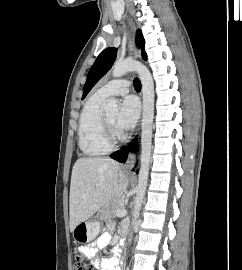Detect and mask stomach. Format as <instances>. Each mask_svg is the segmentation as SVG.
<instances>
[{"mask_svg":"<svg viewBox=\"0 0 242 270\" xmlns=\"http://www.w3.org/2000/svg\"><path fill=\"white\" fill-rule=\"evenodd\" d=\"M99 232L100 222L92 218L79 223L72 231V236L75 243H89L97 237Z\"/></svg>","mask_w":242,"mask_h":270,"instance_id":"0dacf381","label":"stomach"}]
</instances>
